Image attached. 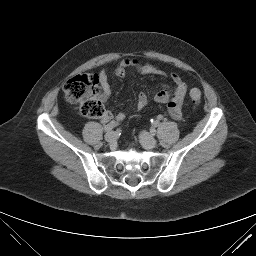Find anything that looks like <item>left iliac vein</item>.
Listing matches in <instances>:
<instances>
[{"label": "left iliac vein", "instance_id": "1", "mask_svg": "<svg viewBox=\"0 0 256 256\" xmlns=\"http://www.w3.org/2000/svg\"><path fill=\"white\" fill-rule=\"evenodd\" d=\"M139 139L143 147H145L146 149H153L157 147L156 139L148 132H145V131L141 132L139 134Z\"/></svg>", "mask_w": 256, "mask_h": 256}]
</instances>
